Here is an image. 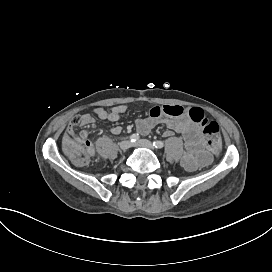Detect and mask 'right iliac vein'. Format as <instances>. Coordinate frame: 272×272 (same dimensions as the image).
Listing matches in <instances>:
<instances>
[{
  "label": "right iliac vein",
  "instance_id": "right-iliac-vein-1",
  "mask_svg": "<svg viewBox=\"0 0 272 272\" xmlns=\"http://www.w3.org/2000/svg\"><path fill=\"white\" fill-rule=\"evenodd\" d=\"M131 142L128 140H124L119 144L121 150L126 151L131 147Z\"/></svg>",
  "mask_w": 272,
  "mask_h": 272
}]
</instances>
